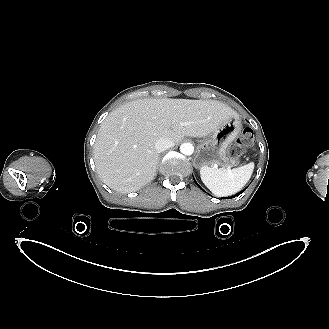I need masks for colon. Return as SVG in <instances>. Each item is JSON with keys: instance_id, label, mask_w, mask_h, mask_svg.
I'll return each instance as SVG.
<instances>
[{"instance_id": "1", "label": "colon", "mask_w": 329, "mask_h": 329, "mask_svg": "<svg viewBox=\"0 0 329 329\" xmlns=\"http://www.w3.org/2000/svg\"><path fill=\"white\" fill-rule=\"evenodd\" d=\"M254 142V136L250 129H245L240 138H239V145L242 147H249Z\"/></svg>"}]
</instances>
